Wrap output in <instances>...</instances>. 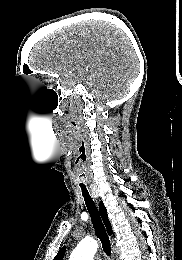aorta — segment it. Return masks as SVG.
Here are the masks:
<instances>
[{"mask_svg": "<svg viewBox=\"0 0 182 260\" xmlns=\"http://www.w3.org/2000/svg\"><path fill=\"white\" fill-rule=\"evenodd\" d=\"M98 249V243L92 238L83 239L73 250L69 260H93Z\"/></svg>", "mask_w": 182, "mask_h": 260, "instance_id": "762f6f07", "label": "aorta"}]
</instances>
